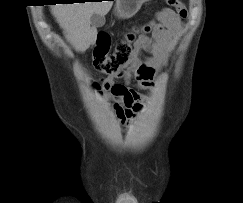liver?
Returning <instances> with one entry per match:
<instances>
[{
  "label": "liver",
  "mask_w": 243,
  "mask_h": 203,
  "mask_svg": "<svg viewBox=\"0 0 243 203\" xmlns=\"http://www.w3.org/2000/svg\"><path fill=\"white\" fill-rule=\"evenodd\" d=\"M112 5V1L59 4L52 7V13L75 49L85 52L97 37L96 28L91 27V16L106 15Z\"/></svg>",
  "instance_id": "obj_1"
}]
</instances>
